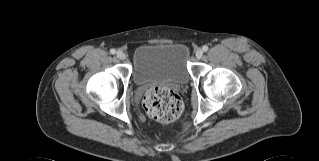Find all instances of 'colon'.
I'll list each match as a JSON object with an SVG mask.
<instances>
[{"label": "colon", "mask_w": 319, "mask_h": 161, "mask_svg": "<svg viewBox=\"0 0 319 161\" xmlns=\"http://www.w3.org/2000/svg\"><path fill=\"white\" fill-rule=\"evenodd\" d=\"M183 107L181 98L167 87H152L143 98L145 112L159 122L175 121L182 114Z\"/></svg>", "instance_id": "colon-1"}]
</instances>
